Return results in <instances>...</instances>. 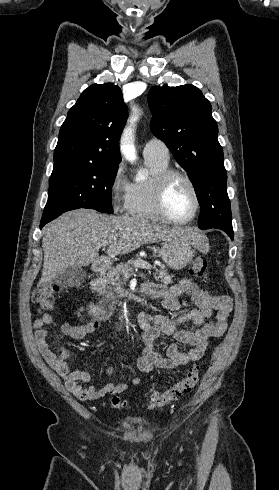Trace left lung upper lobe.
Listing matches in <instances>:
<instances>
[{
  "mask_svg": "<svg viewBox=\"0 0 279 490\" xmlns=\"http://www.w3.org/2000/svg\"><path fill=\"white\" fill-rule=\"evenodd\" d=\"M148 102L151 131L165 142L194 186L201 210L199 228L231 229L223 150L209 101L198 88L186 84L154 86Z\"/></svg>",
  "mask_w": 279,
  "mask_h": 490,
  "instance_id": "left-lung-upper-lobe-1",
  "label": "left lung upper lobe"
}]
</instances>
